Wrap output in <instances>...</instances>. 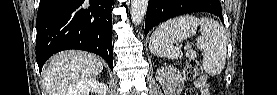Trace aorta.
Wrapping results in <instances>:
<instances>
[{
	"mask_svg": "<svg viewBox=\"0 0 277 95\" xmlns=\"http://www.w3.org/2000/svg\"><path fill=\"white\" fill-rule=\"evenodd\" d=\"M148 7V0H131V19L135 25L141 24Z\"/></svg>",
	"mask_w": 277,
	"mask_h": 95,
	"instance_id": "obj_1",
	"label": "aorta"
}]
</instances>
